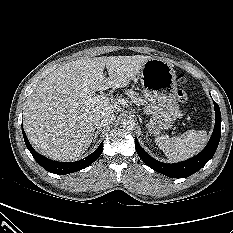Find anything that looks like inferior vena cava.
Instances as JSON below:
<instances>
[{
	"mask_svg": "<svg viewBox=\"0 0 233 233\" xmlns=\"http://www.w3.org/2000/svg\"><path fill=\"white\" fill-rule=\"evenodd\" d=\"M114 119L113 112L110 111H100L93 117V125L95 128L106 127L112 123Z\"/></svg>",
	"mask_w": 233,
	"mask_h": 233,
	"instance_id": "inferior-vena-cava-1",
	"label": "inferior vena cava"
}]
</instances>
